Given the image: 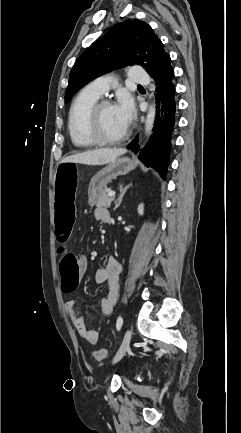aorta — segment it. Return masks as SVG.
Wrapping results in <instances>:
<instances>
[{
  "label": "aorta",
  "instance_id": "762f6f07",
  "mask_svg": "<svg viewBox=\"0 0 241 433\" xmlns=\"http://www.w3.org/2000/svg\"><path fill=\"white\" fill-rule=\"evenodd\" d=\"M156 109L154 105H151L148 109V113L145 121V134L148 135L151 133V130L154 125Z\"/></svg>",
  "mask_w": 241,
  "mask_h": 433
}]
</instances>
